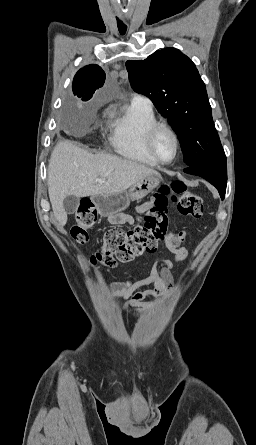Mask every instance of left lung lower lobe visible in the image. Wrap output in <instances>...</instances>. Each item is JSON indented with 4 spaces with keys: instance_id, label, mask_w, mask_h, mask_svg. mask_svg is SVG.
I'll list each match as a JSON object with an SVG mask.
<instances>
[{
    "instance_id": "obj_1",
    "label": "left lung lower lobe",
    "mask_w": 256,
    "mask_h": 445,
    "mask_svg": "<svg viewBox=\"0 0 256 445\" xmlns=\"http://www.w3.org/2000/svg\"><path fill=\"white\" fill-rule=\"evenodd\" d=\"M184 172L205 178L218 189L224 199L227 185L226 159L200 162L184 169Z\"/></svg>"
}]
</instances>
